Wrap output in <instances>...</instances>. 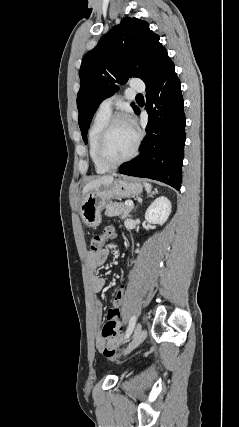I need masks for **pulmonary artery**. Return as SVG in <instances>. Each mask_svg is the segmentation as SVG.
Wrapping results in <instances>:
<instances>
[{
	"mask_svg": "<svg viewBox=\"0 0 239 427\" xmlns=\"http://www.w3.org/2000/svg\"><path fill=\"white\" fill-rule=\"evenodd\" d=\"M130 87L132 90L137 92H143L145 90V84L142 81H132L130 84ZM115 99H116L115 96L104 99L101 102L99 109L110 112Z\"/></svg>",
	"mask_w": 239,
	"mask_h": 427,
	"instance_id": "e3ab8cb5",
	"label": "pulmonary artery"
}]
</instances>
